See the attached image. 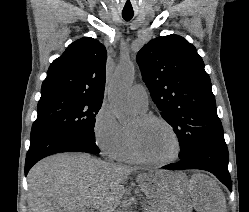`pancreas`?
Segmentation results:
<instances>
[{
	"mask_svg": "<svg viewBox=\"0 0 249 212\" xmlns=\"http://www.w3.org/2000/svg\"><path fill=\"white\" fill-rule=\"evenodd\" d=\"M143 212H158L157 206H153V204H150V206H146V208H143Z\"/></svg>",
	"mask_w": 249,
	"mask_h": 212,
	"instance_id": "obj_1",
	"label": "pancreas"
}]
</instances>
